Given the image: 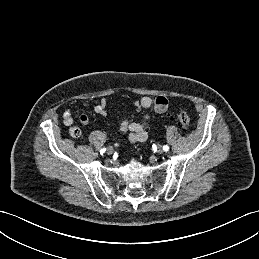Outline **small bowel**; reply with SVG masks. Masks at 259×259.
Segmentation results:
<instances>
[{
	"instance_id": "obj_1",
	"label": "small bowel",
	"mask_w": 259,
	"mask_h": 259,
	"mask_svg": "<svg viewBox=\"0 0 259 259\" xmlns=\"http://www.w3.org/2000/svg\"><path fill=\"white\" fill-rule=\"evenodd\" d=\"M136 109H143L146 112L143 113L140 120L136 121L134 116H130L124 119L120 124V132L125 134L126 140L129 143L144 142L148 138V129L150 127L151 115L148 110H154L156 113L162 114L168 108V100L164 96L148 97L145 96L134 103ZM94 111L101 115H107V101L101 99L100 102L95 106ZM63 123L67 126L73 124L74 119L70 110L64 111ZM82 124H87L89 118L86 114H82L79 117Z\"/></svg>"
}]
</instances>
